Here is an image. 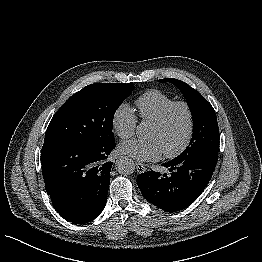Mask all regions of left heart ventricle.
<instances>
[{
	"label": "left heart ventricle",
	"mask_w": 262,
	"mask_h": 262,
	"mask_svg": "<svg viewBox=\"0 0 262 262\" xmlns=\"http://www.w3.org/2000/svg\"><path fill=\"white\" fill-rule=\"evenodd\" d=\"M188 130V115L183 107H177L163 127L151 124L147 137L155 138L161 145L163 152H172L185 139Z\"/></svg>",
	"instance_id": "b2bd125f"
}]
</instances>
